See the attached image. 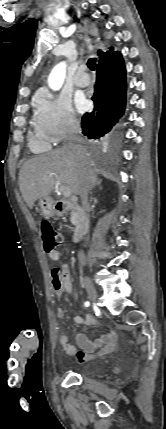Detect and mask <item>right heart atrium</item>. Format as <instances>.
<instances>
[{"mask_svg":"<svg viewBox=\"0 0 166 429\" xmlns=\"http://www.w3.org/2000/svg\"><path fill=\"white\" fill-rule=\"evenodd\" d=\"M34 122L36 129L54 143L76 133L80 128V120L69 98L49 92L37 98Z\"/></svg>","mask_w":166,"mask_h":429,"instance_id":"1","label":"right heart atrium"}]
</instances>
